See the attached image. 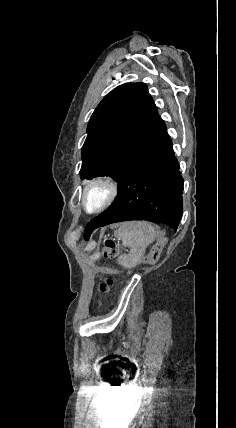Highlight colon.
Returning a JSON list of instances; mask_svg holds the SVG:
<instances>
[{"label": "colon", "instance_id": "5ec220e1", "mask_svg": "<svg viewBox=\"0 0 236 428\" xmlns=\"http://www.w3.org/2000/svg\"><path fill=\"white\" fill-rule=\"evenodd\" d=\"M105 256H114L116 254V245L112 239H106L105 241ZM113 285V281L111 279H107L100 284V290L102 292H107L110 290Z\"/></svg>", "mask_w": 236, "mask_h": 428}]
</instances>
